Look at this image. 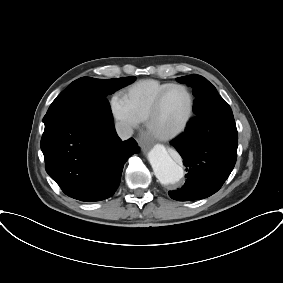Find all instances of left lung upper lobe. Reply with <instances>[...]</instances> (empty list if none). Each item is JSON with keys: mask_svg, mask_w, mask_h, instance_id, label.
Returning <instances> with one entry per match:
<instances>
[{"mask_svg": "<svg viewBox=\"0 0 283 283\" xmlns=\"http://www.w3.org/2000/svg\"><path fill=\"white\" fill-rule=\"evenodd\" d=\"M177 80L193 88V94L196 97L193 107L194 112L197 107L205 108L206 106H210V103H213V99L220 96L216 88L206 78L200 75H188L179 77ZM229 117L230 119L227 123L228 127L225 128V131L220 130L218 133H212L213 138L226 141H238L236 124L231 109Z\"/></svg>", "mask_w": 283, "mask_h": 283, "instance_id": "1", "label": "left lung upper lobe"}]
</instances>
